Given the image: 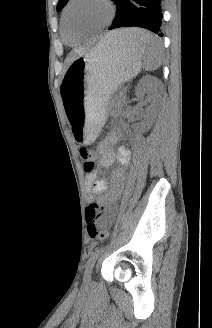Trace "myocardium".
<instances>
[{"instance_id":"obj_1","label":"myocardium","mask_w":212,"mask_h":328,"mask_svg":"<svg viewBox=\"0 0 212 328\" xmlns=\"http://www.w3.org/2000/svg\"><path fill=\"white\" fill-rule=\"evenodd\" d=\"M77 0H69L68 3L66 4L64 10H63V14H62V19H63V23H64V27L65 29L69 31V23H68V11L70 9V7L76 2ZM108 8L109 11V15H108V21L105 22L103 25L90 29L88 31H86L84 34H92V33H96L99 32L101 30H103L104 28H106L109 24V22L113 19L114 14H115V6L112 2V0H101Z\"/></svg>"}]
</instances>
